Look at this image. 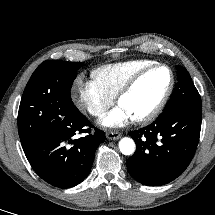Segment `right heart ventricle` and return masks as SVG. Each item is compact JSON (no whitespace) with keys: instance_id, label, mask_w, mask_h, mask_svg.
Wrapping results in <instances>:
<instances>
[{"instance_id":"right-heart-ventricle-1","label":"right heart ventricle","mask_w":215,"mask_h":215,"mask_svg":"<svg viewBox=\"0 0 215 215\" xmlns=\"http://www.w3.org/2000/svg\"><path fill=\"white\" fill-rule=\"evenodd\" d=\"M153 63L148 59H136L107 64L94 69L92 78L104 92L115 97L134 74Z\"/></svg>"}]
</instances>
